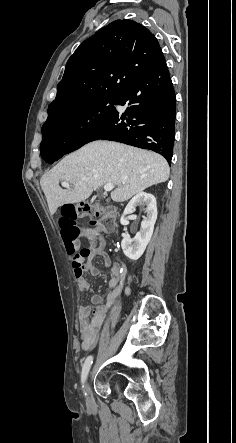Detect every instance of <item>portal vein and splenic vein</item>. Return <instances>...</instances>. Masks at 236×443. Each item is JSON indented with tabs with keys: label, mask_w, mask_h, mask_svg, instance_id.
<instances>
[{
	"label": "portal vein and splenic vein",
	"mask_w": 236,
	"mask_h": 443,
	"mask_svg": "<svg viewBox=\"0 0 236 443\" xmlns=\"http://www.w3.org/2000/svg\"><path fill=\"white\" fill-rule=\"evenodd\" d=\"M62 186L63 187H65V188H69V183L68 182H66V181H63L62 182ZM115 187V185L114 184H112V183H108V184H106L105 186H104V190L107 192V191H111V190H113V188Z\"/></svg>",
	"instance_id": "18ae733b"
}]
</instances>
